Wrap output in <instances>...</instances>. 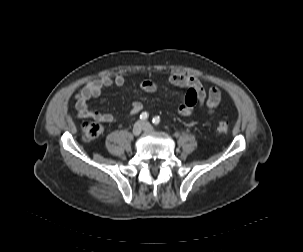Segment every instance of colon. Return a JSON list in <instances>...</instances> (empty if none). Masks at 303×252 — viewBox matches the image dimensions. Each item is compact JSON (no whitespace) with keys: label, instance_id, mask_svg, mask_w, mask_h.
Masks as SVG:
<instances>
[{"label":"colon","instance_id":"obj_1","mask_svg":"<svg viewBox=\"0 0 303 252\" xmlns=\"http://www.w3.org/2000/svg\"><path fill=\"white\" fill-rule=\"evenodd\" d=\"M194 102V101H193ZM217 131L226 134L229 130V125L225 120H220L217 123ZM103 133L101 124L97 122L87 123L84 127V137L86 140H94Z\"/></svg>","mask_w":303,"mask_h":252}]
</instances>
